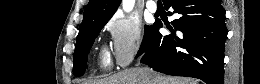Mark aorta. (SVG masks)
Segmentation results:
<instances>
[{"instance_id":"obj_1","label":"aorta","mask_w":260,"mask_h":84,"mask_svg":"<svg viewBox=\"0 0 260 84\" xmlns=\"http://www.w3.org/2000/svg\"><path fill=\"white\" fill-rule=\"evenodd\" d=\"M134 0H123L122 7L126 12H129L133 9Z\"/></svg>"}]
</instances>
